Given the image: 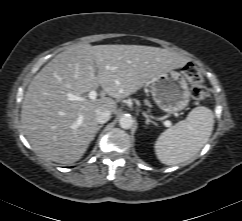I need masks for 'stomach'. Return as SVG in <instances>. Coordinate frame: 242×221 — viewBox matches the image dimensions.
Here are the masks:
<instances>
[{"mask_svg":"<svg viewBox=\"0 0 242 221\" xmlns=\"http://www.w3.org/2000/svg\"><path fill=\"white\" fill-rule=\"evenodd\" d=\"M150 92L158 107L172 113L183 110L190 101V91L183 72L168 70L149 81Z\"/></svg>","mask_w":242,"mask_h":221,"instance_id":"obj_1","label":"stomach"}]
</instances>
